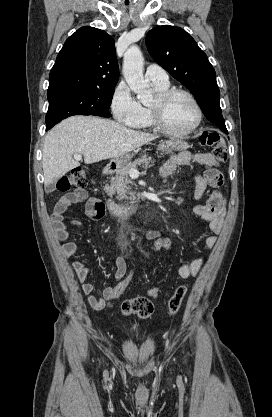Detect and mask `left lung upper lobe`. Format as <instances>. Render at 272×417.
I'll list each match as a JSON object with an SVG mask.
<instances>
[{"instance_id": "1", "label": "left lung upper lobe", "mask_w": 272, "mask_h": 417, "mask_svg": "<svg viewBox=\"0 0 272 417\" xmlns=\"http://www.w3.org/2000/svg\"><path fill=\"white\" fill-rule=\"evenodd\" d=\"M146 46L153 59L191 91L206 118L228 133L215 70L195 40L182 28L163 25L148 32Z\"/></svg>"}]
</instances>
